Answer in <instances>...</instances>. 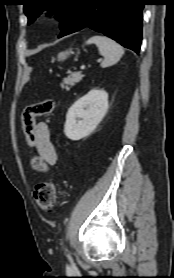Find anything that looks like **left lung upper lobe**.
Returning a JSON list of instances; mask_svg holds the SVG:
<instances>
[{
  "mask_svg": "<svg viewBox=\"0 0 174 278\" xmlns=\"http://www.w3.org/2000/svg\"><path fill=\"white\" fill-rule=\"evenodd\" d=\"M81 0H26L24 12L28 17V24H31L45 9L56 11V18L61 19V30L73 19L80 6Z\"/></svg>",
  "mask_w": 174,
  "mask_h": 278,
  "instance_id": "5c2ea615",
  "label": "left lung upper lobe"
}]
</instances>
